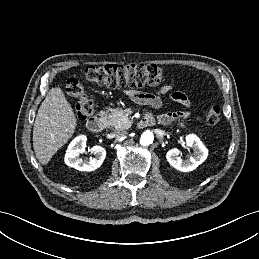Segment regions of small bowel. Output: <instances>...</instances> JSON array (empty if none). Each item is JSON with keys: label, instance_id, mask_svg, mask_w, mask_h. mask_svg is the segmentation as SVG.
Instances as JSON below:
<instances>
[{"label": "small bowel", "instance_id": "obj_1", "mask_svg": "<svg viewBox=\"0 0 259 259\" xmlns=\"http://www.w3.org/2000/svg\"><path fill=\"white\" fill-rule=\"evenodd\" d=\"M171 91H172V87L170 85H165L160 89L159 93L167 94ZM128 95L136 103L148 105L152 108H159L161 106V100L156 95H152L149 93H143V92H137V91H129ZM171 96L175 101H177L181 105H184L186 107L189 106V100L185 94H183L181 92H173ZM186 116H187V113H185V112L167 113V114L160 115L158 119L163 124H169V123L177 121L181 118H184Z\"/></svg>", "mask_w": 259, "mask_h": 259}]
</instances>
